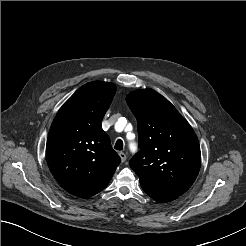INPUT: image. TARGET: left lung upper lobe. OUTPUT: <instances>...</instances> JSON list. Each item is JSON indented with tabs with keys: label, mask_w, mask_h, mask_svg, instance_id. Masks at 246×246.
<instances>
[{
	"label": "left lung upper lobe",
	"mask_w": 246,
	"mask_h": 246,
	"mask_svg": "<svg viewBox=\"0 0 246 246\" xmlns=\"http://www.w3.org/2000/svg\"><path fill=\"white\" fill-rule=\"evenodd\" d=\"M126 101L137 119L139 136V152L130 160V167L140 183L182 195L201 166L193 129L167 99L152 89L131 92Z\"/></svg>",
	"instance_id": "1"
}]
</instances>
